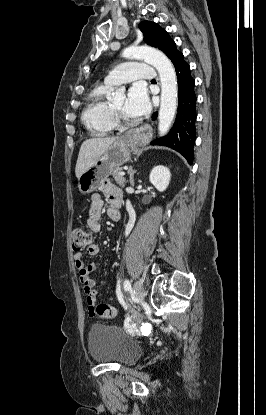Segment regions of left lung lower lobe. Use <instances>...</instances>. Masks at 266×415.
<instances>
[{"label":"left lung lower lobe","mask_w":266,"mask_h":415,"mask_svg":"<svg viewBox=\"0 0 266 415\" xmlns=\"http://www.w3.org/2000/svg\"><path fill=\"white\" fill-rule=\"evenodd\" d=\"M178 79V113L172 130L166 137L152 141L153 145L170 147L181 153L189 164L193 162V146L196 139V100L194 79L190 74V67L184 61L182 53L173 60ZM154 113L152 119H156Z\"/></svg>","instance_id":"1"}]
</instances>
